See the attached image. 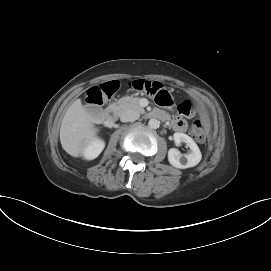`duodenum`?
<instances>
[{"label":"duodenum","mask_w":271,"mask_h":271,"mask_svg":"<svg viewBox=\"0 0 271 271\" xmlns=\"http://www.w3.org/2000/svg\"><path fill=\"white\" fill-rule=\"evenodd\" d=\"M153 116L160 117V118H166L163 114L159 112H154ZM117 118V109L115 106H109L105 109L103 112V121L107 125H112Z\"/></svg>","instance_id":"410a0bca"}]
</instances>
